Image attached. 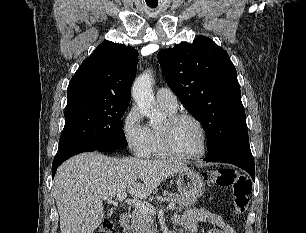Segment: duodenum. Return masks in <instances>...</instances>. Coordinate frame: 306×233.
Instances as JSON below:
<instances>
[{"label": "duodenum", "instance_id": "1", "mask_svg": "<svg viewBox=\"0 0 306 233\" xmlns=\"http://www.w3.org/2000/svg\"><path fill=\"white\" fill-rule=\"evenodd\" d=\"M120 225L124 231V233H128L129 225H130V215L127 212H124L120 216Z\"/></svg>", "mask_w": 306, "mask_h": 233}]
</instances>
